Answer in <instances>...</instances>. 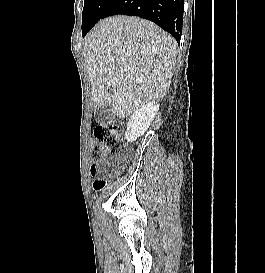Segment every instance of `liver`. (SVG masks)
<instances>
[{"label":"liver","mask_w":265,"mask_h":273,"mask_svg":"<svg viewBox=\"0 0 265 273\" xmlns=\"http://www.w3.org/2000/svg\"><path fill=\"white\" fill-rule=\"evenodd\" d=\"M176 53L173 37L151 21L123 15L100 21L83 47L92 108L107 106L121 118L164 98Z\"/></svg>","instance_id":"liver-1"}]
</instances>
